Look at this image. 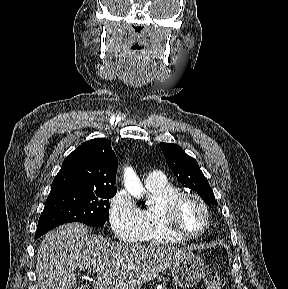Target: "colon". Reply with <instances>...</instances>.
<instances>
[{
  "instance_id": "1",
  "label": "colon",
  "mask_w": 288,
  "mask_h": 289,
  "mask_svg": "<svg viewBox=\"0 0 288 289\" xmlns=\"http://www.w3.org/2000/svg\"><path fill=\"white\" fill-rule=\"evenodd\" d=\"M206 289H225L224 279L214 270H207L204 274Z\"/></svg>"
}]
</instances>
